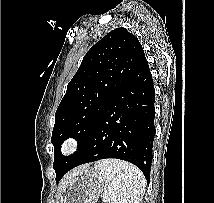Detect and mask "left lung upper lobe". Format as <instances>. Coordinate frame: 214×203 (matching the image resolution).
Segmentation results:
<instances>
[{
  "mask_svg": "<svg viewBox=\"0 0 214 203\" xmlns=\"http://www.w3.org/2000/svg\"><path fill=\"white\" fill-rule=\"evenodd\" d=\"M144 56L139 40L125 28L112 30L86 53L55 113L51 142L56 181L64 176L98 117ZM69 137L78 141V147L65 157L60 149Z\"/></svg>",
  "mask_w": 214,
  "mask_h": 203,
  "instance_id": "obj_1",
  "label": "left lung upper lobe"
}]
</instances>
